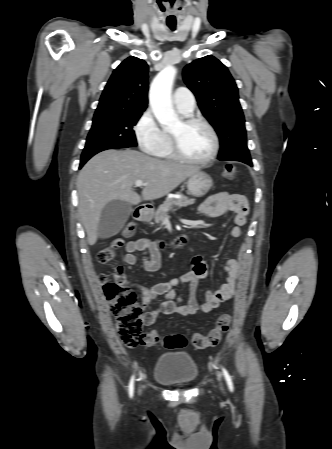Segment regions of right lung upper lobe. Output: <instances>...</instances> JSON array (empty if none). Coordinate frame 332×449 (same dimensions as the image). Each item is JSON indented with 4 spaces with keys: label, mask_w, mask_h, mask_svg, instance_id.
I'll list each match as a JSON object with an SVG mask.
<instances>
[{
    "label": "right lung upper lobe",
    "mask_w": 332,
    "mask_h": 449,
    "mask_svg": "<svg viewBox=\"0 0 332 449\" xmlns=\"http://www.w3.org/2000/svg\"><path fill=\"white\" fill-rule=\"evenodd\" d=\"M148 89L147 63L131 56L114 70L103 90L95 115L143 112L147 108Z\"/></svg>",
    "instance_id": "cb5924a9"
}]
</instances>
